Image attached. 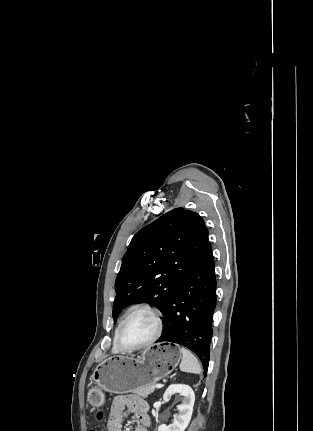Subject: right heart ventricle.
Returning a JSON list of instances; mask_svg holds the SVG:
<instances>
[{
  "label": "right heart ventricle",
  "instance_id": "obj_1",
  "mask_svg": "<svg viewBox=\"0 0 313 431\" xmlns=\"http://www.w3.org/2000/svg\"><path fill=\"white\" fill-rule=\"evenodd\" d=\"M122 320H123V318L118 323V326H117V328L115 330V335H116L117 329H118V327H119V325H120V323H121ZM112 349H113L114 352H119L120 351V349L117 347V345L115 343V336H114V342H113V348Z\"/></svg>",
  "mask_w": 313,
  "mask_h": 431
}]
</instances>
